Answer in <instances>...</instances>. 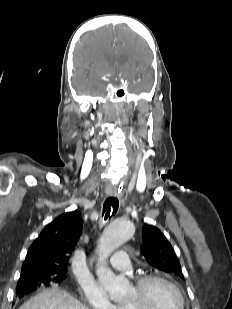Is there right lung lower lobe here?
<instances>
[{
  "label": "right lung lower lobe",
  "mask_w": 232,
  "mask_h": 309,
  "mask_svg": "<svg viewBox=\"0 0 232 309\" xmlns=\"http://www.w3.org/2000/svg\"><path fill=\"white\" fill-rule=\"evenodd\" d=\"M36 289L37 287H34V286H29V285L22 286L16 289V295L21 298Z\"/></svg>",
  "instance_id": "right-lung-lower-lobe-1"
}]
</instances>
